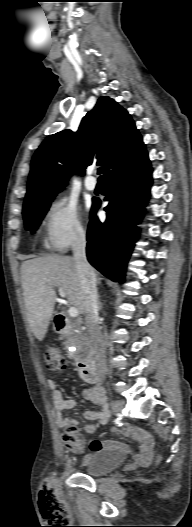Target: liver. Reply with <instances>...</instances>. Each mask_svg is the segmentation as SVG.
<instances>
[{
    "label": "liver",
    "instance_id": "liver-1",
    "mask_svg": "<svg viewBox=\"0 0 192 527\" xmlns=\"http://www.w3.org/2000/svg\"><path fill=\"white\" fill-rule=\"evenodd\" d=\"M21 284L27 319L39 341L44 339L52 319L57 299L55 288L61 287L69 305L84 314L81 284L73 257L47 255L24 261Z\"/></svg>",
    "mask_w": 192,
    "mask_h": 527
}]
</instances>
